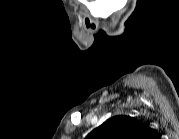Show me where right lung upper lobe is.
Returning <instances> with one entry per match:
<instances>
[{
  "label": "right lung upper lobe",
  "instance_id": "obj_1",
  "mask_svg": "<svg viewBox=\"0 0 179 139\" xmlns=\"http://www.w3.org/2000/svg\"><path fill=\"white\" fill-rule=\"evenodd\" d=\"M155 133L145 123L126 115L114 116L94 129L86 139H148Z\"/></svg>",
  "mask_w": 179,
  "mask_h": 139
}]
</instances>
